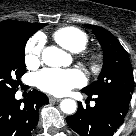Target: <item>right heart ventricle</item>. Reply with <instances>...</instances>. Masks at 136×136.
Here are the masks:
<instances>
[{
  "mask_svg": "<svg viewBox=\"0 0 136 136\" xmlns=\"http://www.w3.org/2000/svg\"><path fill=\"white\" fill-rule=\"evenodd\" d=\"M55 41L70 52L77 53L88 45V35L73 26L62 27L53 34Z\"/></svg>",
  "mask_w": 136,
  "mask_h": 136,
  "instance_id": "obj_1",
  "label": "right heart ventricle"
}]
</instances>
